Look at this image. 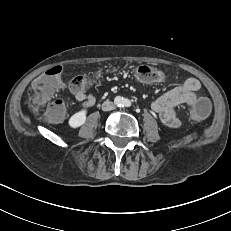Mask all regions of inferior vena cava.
<instances>
[{
	"mask_svg": "<svg viewBox=\"0 0 231 231\" xmlns=\"http://www.w3.org/2000/svg\"><path fill=\"white\" fill-rule=\"evenodd\" d=\"M114 108V105L111 101H105L103 104H102V110L103 111H110Z\"/></svg>",
	"mask_w": 231,
	"mask_h": 231,
	"instance_id": "inferior-vena-cava-1",
	"label": "inferior vena cava"
}]
</instances>
